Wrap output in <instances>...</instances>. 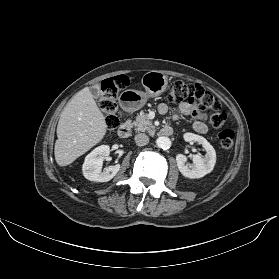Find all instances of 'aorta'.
<instances>
[{"label":"aorta","mask_w":279,"mask_h":279,"mask_svg":"<svg viewBox=\"0 0 279 279\" xmlns=\"http://www.w3.org/2000/svg\"><path fill=\"white\" fill-rule=\"evenodd\" d=\"M156 144L162 149H169L171 147V140L168 137H159L156 140Z\"/></svg>","instance_id":"obj_1"}]
</instances>
